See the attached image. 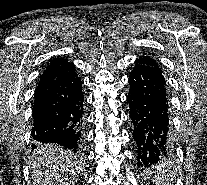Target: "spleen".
Returning <instances> with one entry per match:
<instances>
[{"mask_svg": "<svg viewBox=\"0 0 207 185\" xmlns=\"http://www.w3.org/2000/svg\"><path fill=\"white\" fill-rule=\"evenodd\" d=\"M149 179H174V174H149Z\"/></svg>", "mask_w": 207, "mask_h": 185, "instance_id": "3e777b00", "label": "spleen"}]
</instances>
